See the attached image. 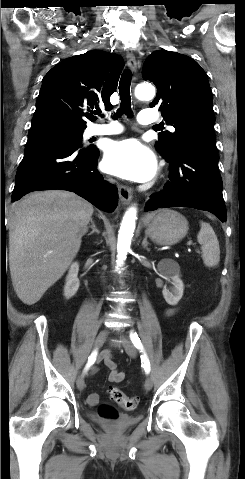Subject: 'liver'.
<instances>
[{"label": "liver", "mask_w": 245, "mask_h": 479, "mask_svg": "<svg viewBox=\"0 0 245 479\" xmlns=\"http://www.w3.org/2000/svg\"><path fill=\"white\" fill-rule=\"evenodd\" d=\"M94 212L74 193L34 192L12 206L9 265L18 298L38 302L76 257Z\"/></svg>", "instance_id": "6515ba94"}]
</instances>
